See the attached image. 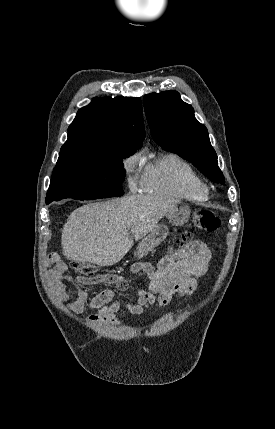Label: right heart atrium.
Masks as SVG:
<instances>
[{"mask_svg":"<svg viewBox=\"0 0 275 429\" xmlns=\"http://www.w3.org/2000/svg\"><path fill=\"white\" fill-rule=\"evenodd\" d=\"M124 179L131 190H136L143 184L144 172L141 155L135 152L122 160Z\"/></svg>","mask_w":275,"mask_h":429,"instance_id":"obj_1","label":"right heart atrium"}]
</instances>
